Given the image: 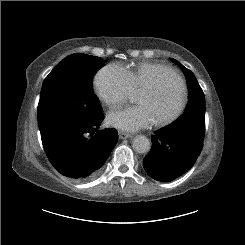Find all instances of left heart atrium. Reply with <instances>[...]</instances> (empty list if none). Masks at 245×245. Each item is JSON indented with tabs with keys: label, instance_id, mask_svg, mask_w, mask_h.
<instances>
[{
	"label": "left heart atrium",
	"instance_id": "39dd6f15",
	"mask_svg": "<svg viewBox=\"0 0 245 245\" xmlns=\"http://www.w3.org/2000/svg\"><path fill=\"white\" fill-rule=\"evenodd\" d=\"M154 122L150 110L145 106L114 109L107 115V123L111 127L125 132H135L148 128Z\"/></svg>",
	"mask_w": 245,
	"mask_h": 245
}]
</instances>
